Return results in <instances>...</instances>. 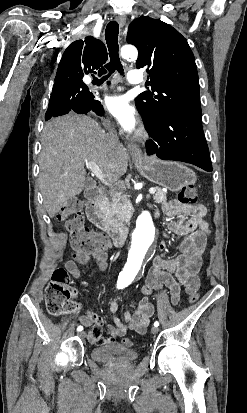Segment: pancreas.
<instances>
[{"label": "pancreas", "mask_w": 247, "mask_h": 413, "mask_svg": "<svg viewBox=\"0 0 247 413\" xmlns=\"http://www.w3.org/2000/svg\"><path fill=\"white\" fill-rule=\"evenodd\" d=\"M166 194L167 192H164V190H157L153 198L155 202H162L163 204V202H166L167 200ZM109 196H111V202L108 204L105 217L110 227H118L120 223H123V219H126V200H128V198L127 196L112 194V192H109Z\"/></svg>", "instance_id": "pancreas-1"}]
</instances>
